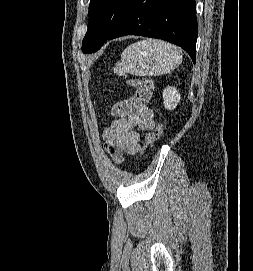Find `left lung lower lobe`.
Masks as SVG:
<instances>
[{
  "mask_svg": "<svg viewBox=\"0 0 253 271\" xmlns=\"http://www.w3.org/2000/svg\"><path fill=\"white\" fill-rule=\"evenodd\" d=\"M125 35H141L171 42L183 48L195 63V0H132L127 14L107 40Z\"/></svg>",
  "mask_w": 253,
  "mask_h": 271,
  "instance_id": "obj_1",
  "label": "left lung lower lobe"
}]
</instances>
